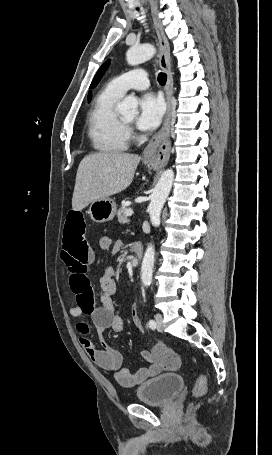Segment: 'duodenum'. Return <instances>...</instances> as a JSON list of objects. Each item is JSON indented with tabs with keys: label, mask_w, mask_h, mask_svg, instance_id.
I'll use <instances>...</instances> for the list:
<instances>
[{
	"label": "duodenum",
	"mask_w": 272,
	"mask_h": 455,
	"mask_svg": "<svg viewBox=\"0 0 272 455\" xmlns=\"http://www.w3.org/2000/svg\"><path fill=\"white\" fill-rule=\"evenodd\" d=\"M132 251L137 259H141L143 256V246L139 242H133L131 244Z\"/></svg>",
	"instance_id": "obj_1"
}]
</instances>
